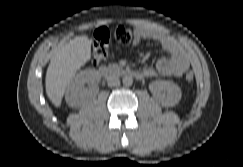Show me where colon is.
I'll return each instance as SVG.
<instances>
[{
  "mask_svg": "<svg viewBox=\"0 0 243 167\" xmlns=\"http://www.w3.org/2000/svg\"><path fill=\"white\" fill-rule=\"evenodd\" d=\"M112 34L120 45L127 46L132 40L133 31L127 26H118L113 31L109 27L104 25L98 27L94 33V64H99L107 57L110 46V38ZM185 78L186 81L191 82L194 78V74L191 71H188Z\"/></svg>",
  "mask_w": 243,
  "mask_h": 167,
  "instance_id": "obj_1",
  "label": "colon"
}]
</instances>
